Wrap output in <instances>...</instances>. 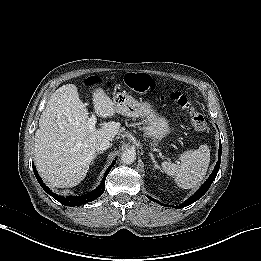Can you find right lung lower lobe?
<instances>
[{
	"instance_id": "98d812e1",
	"label": "right lung lower lobe",
	"mask_w": 261,
	"mask_h": 261,
	"mask_svg": "<svg viewBox=\"0 0 261 261\" xmlns=\"http://www.w3.org/2000/svg\"><path fill=\"white\" fill-rule=\"evenodd\" d=\"M115 160L112 163V165L107 169V171L104 174V177L101 181L100 186L93 190L92 192H89L88 194L82 195V196H68V197H63V196H59L55 193H53L43 182L42 179L39 177L38 172L36 171V168L34 165H32L33 170H34V174L39 182V184L41 185V187L49 194L51 195L53 198H55L57 201H59L60 203H62L63 205L66 206H80V205H84L88 202H91L95 199H97L105 190V179L107 177V175L109 174L112 166L115 164Z\"/></svg>"
}]
</instances>
